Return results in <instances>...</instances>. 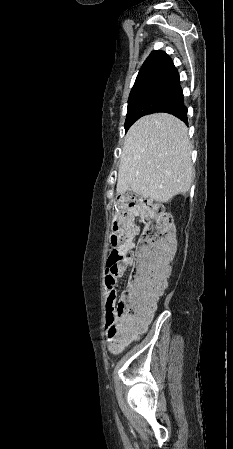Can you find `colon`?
Masks as SVG:
<instances>
[{
  "label": "colon",
  "mask_w": 233,
  "mask_h": 449,
  "mask_svg": "<svg viewBox=\"0 0 233 449\" xmlns=\"http://www.w3.org/2000/svg\"><path fill=\"white\" fill-rule=\"evenodd\" d=\"M110 265L131 257L134 265L129 285L120 301L106 316L107 337L116 349L130 343L139 324L153 312L170 273L175 239L164 206L135 194H123L114 204ZM142 230L132 257L135 219Z\"/></svg>",
  "instance_id": "1"
}]
</instances>
